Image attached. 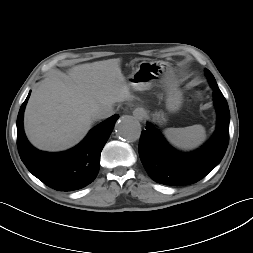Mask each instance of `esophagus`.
<instances>
[{
    "label": "esophagus",
    "instance_id": "34e87169",
    "mask_svg": "<svg viewBox=\"0 0 253 253\" xmlns=\"http://www.w3.org/2000/svg\"><path fill=\"white\" fill-rule=\"evenodd\" d=\"M133 115L134 117L137 119V120H142L145 116V112L142 110V109H136L134 112H133Z\"/></svg>",
    "mask_w": 253,
    "mask_h": 253
}]
</instances>
